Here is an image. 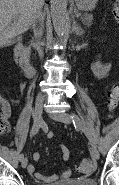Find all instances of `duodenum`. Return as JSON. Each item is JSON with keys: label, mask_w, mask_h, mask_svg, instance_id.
I'll use <instances>...</instances> for the list:
<instances>
[{"label": "duodenum", "mask_w": 119, "mask_h": 185, "mask_svg": "<svg viewBox=\"0 0 119 185\" xmlns=\"http://www.w3.org/2000/svg\"><path fill=\"white\" fill-rule=\"evenodd\" d=\"M14 55L16 63L24 71L25 75L28 78L34 77L36 74V69L29 61L28 51L22 39L18 40L14 49Z\"/></svg>", "instance_id": "duodenum-1"}]
</instances>
